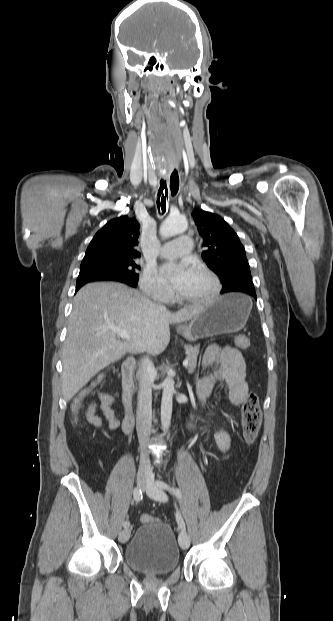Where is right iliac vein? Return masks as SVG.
Returning a JSON list of instances; mask_svg holds the SVG:
<instances>
[{
    "label": "right iliac vein",
    "mask_w": 333,
    "mask_h": 621,
    "mask_svg": "<svg viewBox=\"0 0 333 621\" xmlns=\"http://www.w3.org/2000/svg\"><path fill=\"white\" fill-rule=\"evenodd\" d=\"M148 474L149 473H148L146 468H144V467H140L139 468V470L137 472V479H136V482H137V485H138L139 488L145 489L146 483H147ZM130 534H131V529L130 528H126L125 530L121 531L119 533V537H118L119 541L121 543H126L128 541V539H129V537H130Z\"/></svg>",
    "instance_id": "63e3f726"
}]
</instances>
